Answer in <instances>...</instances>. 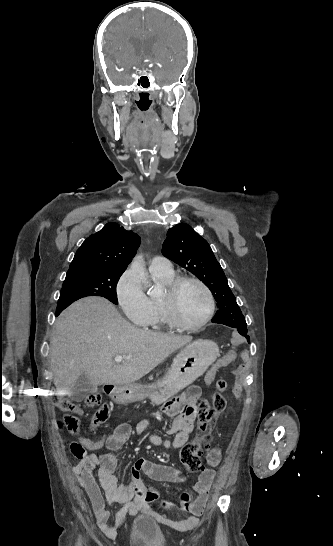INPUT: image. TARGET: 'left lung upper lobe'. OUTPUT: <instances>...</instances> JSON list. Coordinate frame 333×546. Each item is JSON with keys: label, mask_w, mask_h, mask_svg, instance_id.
Masks as SVG:
<instances>
[{"label": "left lung upper lobe", "mask_w": 333, "mask_h": 546, "mask_svg": "<svg viewBox=\"0 0 333 546\" xmlns=\"http://www.w3.org/2000/svg\"><path fill=\"white\" fill-rule=\"evenodd\" d=\"M162 253L197 276L211 290L219 308L215 316L222 317L234 328L247 326L211 247L191 226L178 224L170 228Z\"/></svg>", "instance_id": "left-lung-upper-lobe-1"}]
</instances>
